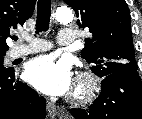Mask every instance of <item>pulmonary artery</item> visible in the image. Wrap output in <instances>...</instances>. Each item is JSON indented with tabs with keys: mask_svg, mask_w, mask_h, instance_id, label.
Segmentation results:
<instances>
[{
	"mask_svg": "<svg viewBox=\"0 0 142 119\" xmlns=\"http://www.w3.org/2000/svg\"><path fill=\"white\" fill-rule=\"evenodd\" d=\"M25 38L29 40V43L27 45H17L11 48V50L9 51L10 59H16L32 53L42 52L52 48V44L50 42L44 40H37L32 37H25ZM73 42H74L73 32L66 28L61 29L57 39L58 45L70 46L73 44Z\"/></svg>",
	"mask_w": 142,
	"mask_h": 119,
	"instance_id": "pulmonary-artery-1",
	"label": "pulmonary artery"
}]
</instances>
